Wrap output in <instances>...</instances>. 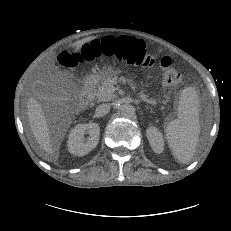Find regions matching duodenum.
Wrapping results in <instances>:
<instances>
[{"label":"duodenum","mask_w":231,"mask_h":231,"mask_svg":"<svg viewBox=\"0 0 231 231\" xmlns=\"http://www.w3.org/2000/svg\"><path fill=\"white\" fill-rule=\"evenodd\" d=\"M95 84H96L95 77H89L86 79L85 89L79 100L80 105L82 107H87L91 102Z\"/></svg>","instance_id":"duodenum-1"}]
</instances>
